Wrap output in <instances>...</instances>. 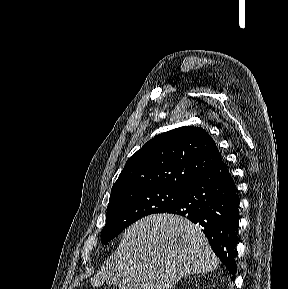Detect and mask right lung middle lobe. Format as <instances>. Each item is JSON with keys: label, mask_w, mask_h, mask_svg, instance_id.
I'll use <instances>...</instances> for the list:
<instances>
[{"label": "right lung middle lobe", "mask_w": 288, "mask_h": 289, "mask_svg": "<svg viewBox=\"0 0 288 289\" xmlns=\"http://www.w3.org/2000/svg\"><path fill=\"white\" fill-rule=\"evenodd\" d=\"M184 192L185 189L182 188L158 187L126 190L111 195L101 242L107 244L142 217L168 211L181 199Z\"/></svg>", "instance_id": "obj_1"}]
</instances>
